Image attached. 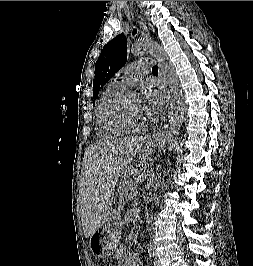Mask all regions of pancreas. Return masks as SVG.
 <instances>
[{
    "instance_id": "obj_1",
    "label": "pancreas",
    "mask_w": 253,
    "mask_h": 266,
    "mask_svg": "<svg viewBox=\"0 0 253 266\" xmlns=\"http://www.w3.org/2000/svg\"><path fill=\"white\" fill-rule=\"evenodd\" d=\"M136 194V187L132 180H124L120 185V202L126 203Z\"/></svg>"
}]
</instances>
